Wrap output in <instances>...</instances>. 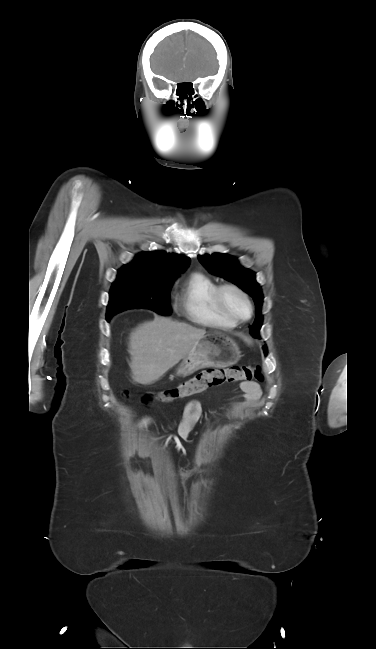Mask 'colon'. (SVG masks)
<instances>
[{
    "mask_svg": "<svg viewBox=\"0 0 376 649\" xmlns=\"http://www.w3.org/2000/svg\"><path fill=\"white\" fill-rule=\"evenodd\" d=\"M262 372L259 367L249 365H233L227 368H208L195 374L190 379L164 389L156 395L146 396L147 401L157 400L163 403L193 396L208 388L225 382L234 381H261Z\"/></svg>",
    "mask_w": 376,
    "mask_h": 649,
    "instance_id": "colon-1",
    "label": "colon"
}]
</instances>
